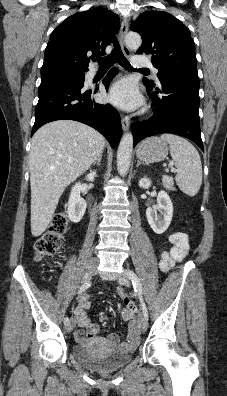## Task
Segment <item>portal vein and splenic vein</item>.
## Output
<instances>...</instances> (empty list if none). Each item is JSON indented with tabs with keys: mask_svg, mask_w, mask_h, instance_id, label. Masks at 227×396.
<instances>
[{
	"mask_svg": "<svg viewBox=\"0 0 227 396\" xmlns=\"http://www.w3.org/2000/svg\"><path fill=\"white\" fill-rule=\"evenodd\" d=\"M170 165H172V166H173V165H174V164H173V162H171V163H170Z\"/></svg>",
	"mask_w": 227,
	"mask_h": 396,
	"instance_id": "1",
	"label": "portal vein and splenic vein"
}]
</instances>
